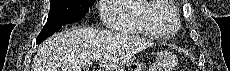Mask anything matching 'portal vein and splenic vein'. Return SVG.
Listing matches in <instances>:
<instances>
[{
    "label": "portal vein and splenic vein",
    "instance_id": "18ae733b",
    "mask_svg": "<svg viewBox=\"0 0 230 71\" xmlns=\"http://www.w3.org/2000/svg\"><path fill=\"white\" fill-rule=\"evenodd\" d=\"M101 58H102L101 54L96 55V56L94 57V62L100 61Z\"/></svg>",
    "mask_w": 230,
    "mask_h": 71
}]
</instances>
